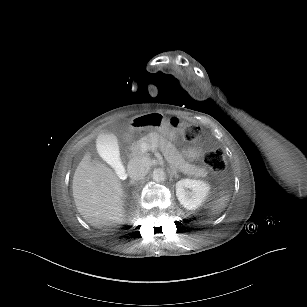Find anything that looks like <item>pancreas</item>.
Wrapping results in <instances>:
<instances>
[{
    "instance_id": "cf45deb5",
    "label": "pancreas",
    "mask_w": 307,
    "mask_h": 307,
    "mask_svg": "<svg viewBox=\"0 0 307 307\" xmlns=\"http://www.w3.org/2000/svg\"><path fill=\"white\" fill-rule=\"evenodd\" d=\"M143 142L151 145V142L158 145L166 160L175 167V169H178L180 171H185L188 175H197L202 176L205 173V168L202 165H193L188 164L187 161L183 160L180 153L177 151V149L171 145L169 142H165L164 138H161L158 135H150L149 137H143L140 141L137 142L135 147L132 149L133 156H137L138 152L140 150L141 145Z\"/></svg>"
}]
</instances>
